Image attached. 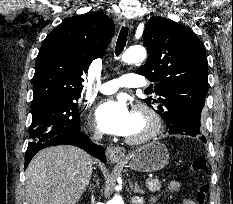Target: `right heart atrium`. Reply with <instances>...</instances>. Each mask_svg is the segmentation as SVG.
Listing matches in <instances>:
<instances>
[{"mask_svg":"<svg viewBox=\"0 0 233 204\" xmlns=\"http://www.w3.org/2000/svg\"><path fill=\"white\" fill-rule=\"evenodd\" d=\"M89 132L93 139H99L101 137V133L96 128L90 127Z\"/></svg>","mask_w":233,"mask_h":204,"instance_id":"1","label":"right heart atrium"}]
</instances>
